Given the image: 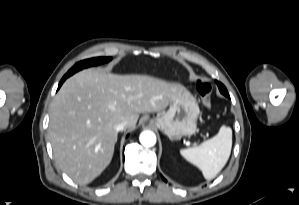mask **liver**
I'll use <instances>...</instances> for the list:
<instances>
[{
    "label": "liver",
    "instance_id": "obj_1",
    "mask_svg": "<svg viewBox=\"0 0 299 205\" xmlns=\"http://www.w3.org/2000/svg\"><path fill=\"white\" fill-rule=\"evenodd\" d=\"M183 88L147 75H117L84 69L68 78L50 105L49 137L56 162L85 185L110 164L115 126L134 129L139 115L164 110Z\"/></svg>",
    "mask_w": 299,
    "mask_h": 205
}]
</instances>
